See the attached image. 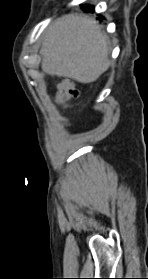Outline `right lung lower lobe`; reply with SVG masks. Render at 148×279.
Wrapping results in <instances>:
<instances>
[{"label":"right lung lower lobe","mask_w":148,"mask_h":279,"mask_svg":"<svg viewBox=\"0 0 148 279\" xmlns=\"http://www.w3.org/2000/svg\"><path fill=\"white\" fill-rule=\"evenodd\" d=\"M81 9H83V11H85V12H90V13L94 12V7L90 6V5L81 6ZM102 18L103 17H101L100 20H102Z\"/></svg>","instance_id":"obj_1"}]
</instances>
